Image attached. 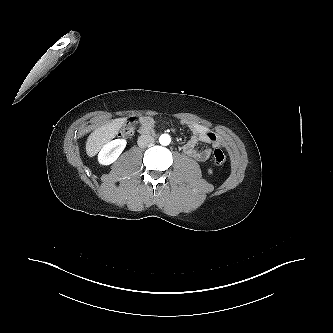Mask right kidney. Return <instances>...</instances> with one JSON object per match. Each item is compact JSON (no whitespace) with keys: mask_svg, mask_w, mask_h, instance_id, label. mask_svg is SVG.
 Wrapping results in <instances>:
<instances>
[{"mask_svg":"<svg viewBox=\"0 0 333 333\" xmlns=\"http://www.w3.org/2000/svg\"><path fill=\"white\" fill-rule=\"evenodd\" d=\"M127 142L125 139H115L103 146L98 154V162L101 165H110L120 156Z\"/></svg>","mask_w":333,"mask_h":333,"instance_id":"1","label":"right kidney"}]
</instances>
